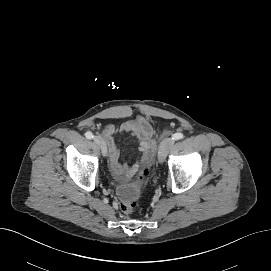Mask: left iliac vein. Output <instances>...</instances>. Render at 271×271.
I'll return each mask as SVG.
<instances>
[{"label": "left iliac vein", "mask_w": 271, "mask_h": 271, "mask_svg": "<svg viewBox=\"0 0 271 271\" xmlns=\"http://www.w3.org/2000/svg\"><path fill=\"white\" fill-rule=\"evenodd\" d=\"M175 140L173 138H167L160 144L159 150H158V160L159 163H163L168 152L174 145Z\"/></svg>", "instance_id": "4c4485c4"}]
</instances>
